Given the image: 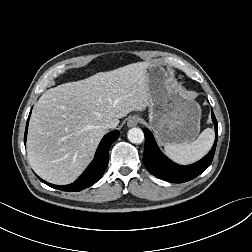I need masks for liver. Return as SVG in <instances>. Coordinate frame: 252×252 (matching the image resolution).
Instances as JSON below:
<instances>
[{
	"label": "liver",
	"instance_id": "6515ba94",
	"mask_svg": "<svg viewBox=\"0 0 252 252\" xmlns=\"http://www.w3.org/2000/svg\"><path fill=\"white\" fill-rule=\"evenodd\" d=\"M138 62L48 89L29 122L27 157L44 180L75 181L90 162L106 131L102 124L150 106L146 71Z\"/></svg>",
	"mask_w": 252,
	"mask_h": 252
}]
</instances>
